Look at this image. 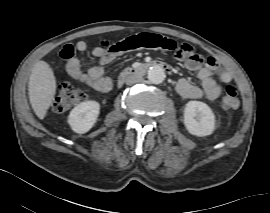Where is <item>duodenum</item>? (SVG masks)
<instances>
[{
  "label": "duodenum",
  "instance_id": "duodenum-1",
  "mask_svg": "<svg viewBox=\"0 0 270 213\" xmlns=\"http://www.w3.org/2000/svg\"><path fill=\"white\" fill-rule=\"evenodd\" d=\"M156 66V67H159V68H164L165 67V64L163 62H160V61H156L154 63H146V64H143L141 65L140 67H138L136 70H135V73L136 74H142L144 72H146L151 66ZM128 74V72H124L120 79H119V82L118 84L121 85L122 82H123V79L124 77Z\"/></svg>",
  "mask_w": 270,
  "mask_h": 213
}]
</instances>
